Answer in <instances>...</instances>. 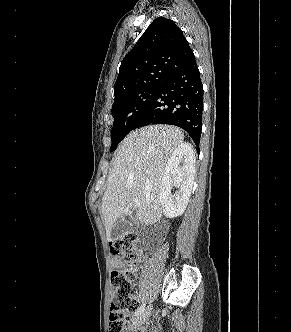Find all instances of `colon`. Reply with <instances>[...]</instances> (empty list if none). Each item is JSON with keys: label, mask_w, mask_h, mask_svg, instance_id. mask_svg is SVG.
<instances>
[{"label": "colon", "mask_w": 291, "mask_h": 332, "mask_svg": "<svg viewBox=\"0 0 291 332\" xmlns=\"http://www.w3.org/2000/svg\"><path fill=\"white\" fill-rule=\"evenodd\" d=\"M136 235L126 234L110 242V251L119 256L129 266L111 274L113 296L110 306L109 332H124L137 309L138 302L133 290L135 273L133 268L140 262L141 256L136 250Z\"/></svg>", "instance_id": "colon-1"}]
</instances>
